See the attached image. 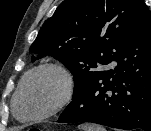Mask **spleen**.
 <instances>
[{
    "label": "spleen",
    "mask_w": 151,
    "mask_h": 131,
    "mask_svg": "<svg viewBox=\"0 0 151 131\" xmlns=\"http://www.w3.org/2000/svg\"><path fill=\"white\" fill-rule=\"evenodd\" d=\"M81 131H106V129L100 125L95 124H83L79 126Z\"/></svg>",
    "instance_id": "3e777b00"
}]
</instances>
